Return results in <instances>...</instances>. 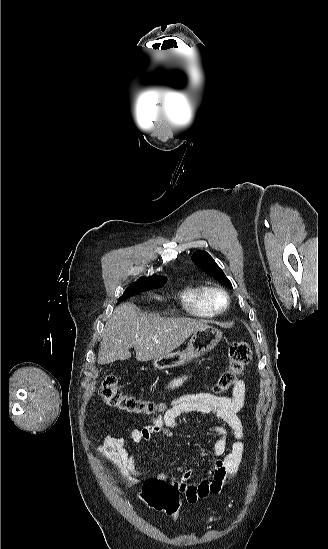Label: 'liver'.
Wrapping results in <instances>:
<instances>
[{
    "instance_id": "1",
    "label": "liver",
    "mask_w": 328,
    "mask_h": 549,
    "mask_svg": "<svg viewBox=\"0 0 328 549\" xmlns=\"http://www.w3.org/2000/svg\"><path fill=\"white\" fill-rule=\"evenodd\" d=\"M208 321L164 319L158 313H142L136 305L123 303L107 321L98 353V365L130 359L134 347L137 361H151L180 347Z\"/></svg>"
}]
</instances>
